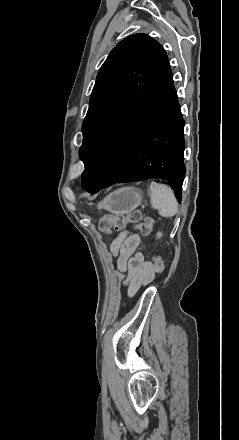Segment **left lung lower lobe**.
<instances>
[{
	"mask_svg": "<svg viewBox=\"0 0 239 440\" xmlns=\"http://www.w3.org/2000/svg\"><path fill=\"white\" fill-rule=\"evenodd\" d=\"M184 120L169 63L134 106L110 129L82 173L96 193L115 183L149 178L170 181L181 201Z\"/></svg>",
	"mask_w": 239,
	"mask_h": 440,
	"instance_id": "left-lung-lower-lobe-1",
	"label": "left lung lower lobe"
}]
</instances>
